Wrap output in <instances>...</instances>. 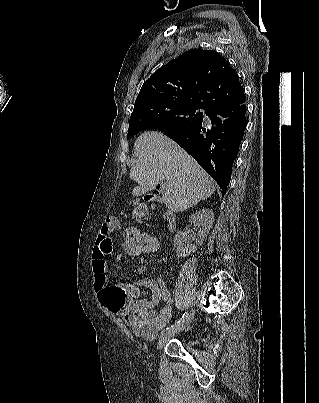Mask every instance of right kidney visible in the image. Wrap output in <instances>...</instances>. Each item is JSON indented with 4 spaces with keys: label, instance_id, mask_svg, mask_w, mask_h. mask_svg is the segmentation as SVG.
Returning <instances> with one entry per match:
<instances>
[{
    "label": "right kidney",
    "instance_id": "right-kidney-1",
    "mask_svg": "<svg viewBox=\"0 0 319 403\" xmlns=\"http://www.w3.org/2000/svg\"><path fill=\"white\" fill-rule=\"evenodd\" d=\"M189 222L198 227V235L195 240L196 245L191 242L195 236H187L186 233L178 231L174 238V247L176 248L177 257L189 256L196 251L197 245H202L207 238L209 231L214 222V213L211 209H202L191 215Z\"/></svg>",
    "mask_w": 319,
    "mask_h": 403
}]
</instances>
